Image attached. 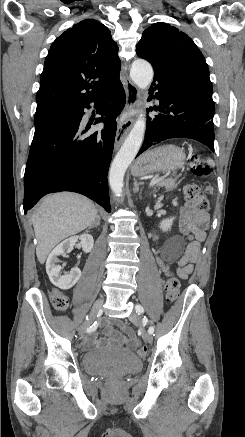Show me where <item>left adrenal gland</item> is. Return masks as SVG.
I'll use <instances>...</instances> for the list:
<instances>
[{
  "instance_id": "left-adrenal-gland-1",
  "label": "left adrenal gland",
  "mask_w": 245,
  "mask_h": 437,
  "mask_svg": "<svg viewBox=\"0 0 245 437\" xmlns=\"http://www.w3.org/2000/svg\"><path fill=\"white\" fill-rule=\"evenodd\" d=\"M142 184H143V182H137V180L134 179V189H133V192L134 193L139 192V186L142 185Z\"/></svg>"
}]
</instances>
